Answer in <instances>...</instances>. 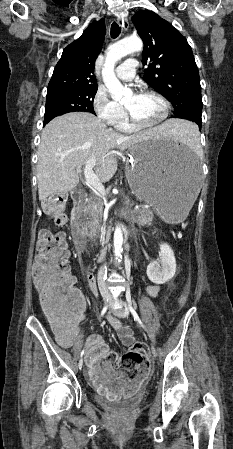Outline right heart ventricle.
Masks as SVG:
<instances>
[{
    "label": "right heart ventricle",
    "instance_id": "1",
    "mask_svg": "<svg viewBox=\"0 0 233 449\" xmlns=\"http://www.w3.org/2000/svg\"><path fill=\"white\" fill-rule=\"evenodd\" d=\"M114 127L124 133H133L137 131L138 128L133 126L131 122L129 121L125 111L122 113V115L117 119V121L114 123Z\"/></svg>",
    "mask_w": 233,
    "mask_h": 449
}]
</instances>
